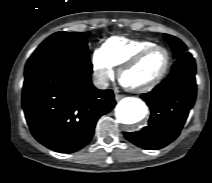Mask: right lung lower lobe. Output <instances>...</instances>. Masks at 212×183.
Segmentation results:
<instances>
[{
	"label": "right lung lower lobe",
	"mask_w": 212,
	"mask_h": 183,
	"mask_svg": "<svg viewBox=\"0 0 212 183\" xmlns=\"http://www.w3.org/2000/svg\"><path fill=\"white\" fill-rule=\"evenodd\" d=\"M91 74L89 59L26 63L22 107L32 135L47 148L78 151L92 139L97 120L114 108L112 90L95 88Z\"/></svg>",
	"instance_id": "right-lung-lower-lobe-1"
}]
</instances>
